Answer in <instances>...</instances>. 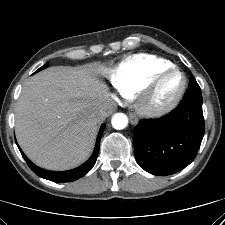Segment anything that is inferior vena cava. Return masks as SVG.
Listing matches in <instances>:
<instances>
[{
    "instance_id": "602c4592",
    "label": "inferior vena cava",
    "mask_w": 225,
    "mask_h": 225,
    "mask_svg": "<svg viewBox=\"0 0 225 225\" xmlns=\"http://www.w3.org/2000/svg\"><path fill=\"white\" fill-rule=\"evenodd\" d=\"M114 107H115V103L112 100L107 99L102 104L99 111L96 112V114H95L96 120L99 123L104 121L109 116V114L113 111Z\"/></svg>"
}]
</instances>
